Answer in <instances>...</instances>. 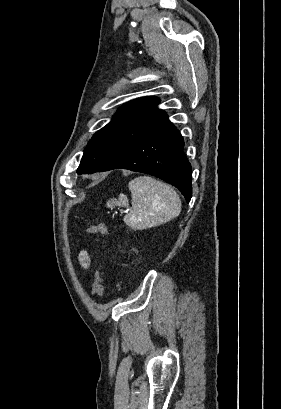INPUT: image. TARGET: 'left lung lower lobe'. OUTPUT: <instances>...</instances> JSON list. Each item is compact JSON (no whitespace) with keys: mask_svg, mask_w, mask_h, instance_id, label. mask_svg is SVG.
Wrapping results in <instances>:
<instances>
[{"mask_svg":"<svg viewBox=\"0 0 281 409\" xmlns=\"http://www.w3.org/2000/svg\"><path fill=\"white\" fill-rule=\"evenodd\" d=\"M183 146L180 132L169 121L113 157L97 172L123 168L154 175L176 186L189 202L192 196L191 165L183 153Z\"/></svg>","mask_w":281,"mask_h":409,"instance_id":"1","label":"left lung lower lobe"}]
</instances>
